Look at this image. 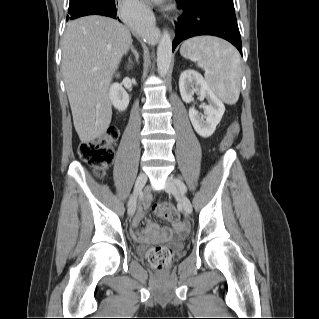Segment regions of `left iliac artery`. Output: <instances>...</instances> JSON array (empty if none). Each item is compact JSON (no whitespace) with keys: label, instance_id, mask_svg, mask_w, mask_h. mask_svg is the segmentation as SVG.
<instances>
[{"label":"left iliac artery","instance_id":"44dca946","mask_svg":"<svg viewBox=\"0 0 319 319\" xmlns=\"http://www.w3.org/2000/svg\"><path fill=\"white\" fill-rule=\"evenodd\" d=\"M174 182L176 183L181 192L185 193L187 191L185 184L180 179L174 178Z\"/></svg>","mask_w":319,"mask_h":319}]
</instances>
